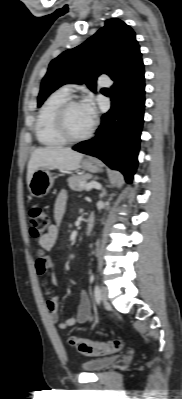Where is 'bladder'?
<instances>
[{
	"label": "bladder",
	"instance_id": "bladder-1",
	"mask_svg": "<svg viewBox=\"0 0 182 399\" xmlns=\"http://www.w3.org/2000/svg\"><path fill=\"white\" fill-rule=\"evenodd\" d=\"M115 359V357L92 359L85 361L82 367L88 372H100L114 363Z\"/></svg>",
	"mask_w": 182,
	"mask_h": 399
}]
</instances>
